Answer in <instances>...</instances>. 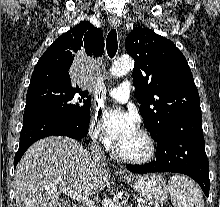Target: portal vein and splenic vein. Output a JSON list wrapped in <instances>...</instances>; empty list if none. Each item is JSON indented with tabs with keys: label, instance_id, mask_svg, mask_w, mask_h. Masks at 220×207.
I'll return each mask as SVG.
<instances>
[{
	"label": "portal vein and splenic vein",
	"instance_id": "portal-vein-and-splenic-vein-1",
	"mask_svg": "<svg viewBox=\"0 0 220 207\" xmlns=\"http://www.w3.org/2000/svg\"><path fill=\"white\" fill-rule=\"evenodd\" d=\"M59 191L64 193L65 195L70 196L73 199H76L77 201L83 203L84 205L88 206V207H95V204L92 200H90L87 196L76 192L74 189L72 188H67V187H61L59 188ZM140 207H147V206H143V205H139Z\"/></svg>",
	"mask_w": 220,
	"mask_h": 207
}]
</instances>
